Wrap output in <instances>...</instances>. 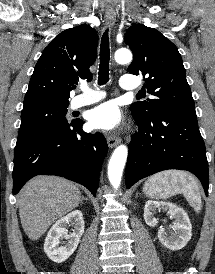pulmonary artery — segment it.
<instances>
[{"label": "pulmonary artery", "instance_id": "1", "mask_svg": "<svg viewBox=\"0 0 215 274\" xmlns=\"http://www.w3.org/2000/svg\"><path fill=\"white\" fill-rule=\"evenodd\" d=\"M120 86L124 90H135L138 87L136 80L129 76L124 75L120 78ZM82 94L77 95L71 100L70 107L71 109L81 108L87 105H91L102 100L105 96L104 92L99 90L91 89L86 85H82L81 87Z\"/></svg>", "mask_w": 215, "mask_h": 274}]
</instances>
